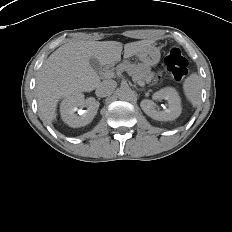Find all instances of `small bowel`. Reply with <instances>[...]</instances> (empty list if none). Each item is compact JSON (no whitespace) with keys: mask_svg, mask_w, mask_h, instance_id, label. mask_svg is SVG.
I'll list each match as a JSON object with an SVG mask.
<instances>
[{"mask_svg":"<svg viewBox=\"0 0 232 232\" xmlns=\"http://www.w3.org/2000/svg\"><path fill=\"white\" fill-rule=\"evenodd\" d=\"M166 77V71L163 68H158L155 71V76H150L147 79V84L150 87H155L158 84V80H163Z\"/></svg>","mask_w":232,"mask_h":232,"instance_id":"c3829d8e","label":"small bowel"}]
</instances>
